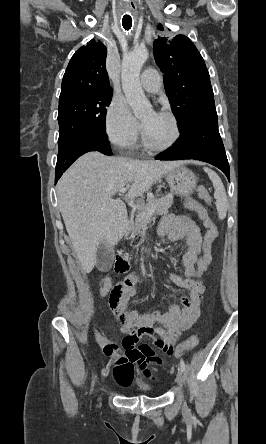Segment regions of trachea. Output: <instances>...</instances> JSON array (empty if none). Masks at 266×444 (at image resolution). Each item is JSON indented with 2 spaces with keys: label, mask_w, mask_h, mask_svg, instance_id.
<instances>
[{
  "label": "trachea",
  "mask_w": 266,
  "mask_h": 444,
  "mask_svg": "<svg viewBox=\"0 0 266 444\" xmlns=\"http://www.w3.org/2000/svg\"><path fill=\"white\" fill-rule=\"evenodd\" d=\"M122 26L125 30H130L132 27V18L130 15H124L122 18Z\"/></svg>",
  "instance_id": "3493384b"
}]
</instances>
